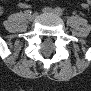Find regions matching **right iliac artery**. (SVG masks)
I'll return each instance as SVG.
<instances>
[{"mask_svg": "<svg viewBox=\"0 0 91 91\" xmlns=\"http://www.w3.org/2000/svg\"><path fill=\"white\" fill-rule=\"evenodd\" d=\"M29 13H31L30 10H26V11H25V15H27V14H29Z\"/></svg>", "mask_w": 91, "mask_h": 91, "instance_id": "right-iliac-artery-1", "label": "right iliac artery"}]
</instances>
